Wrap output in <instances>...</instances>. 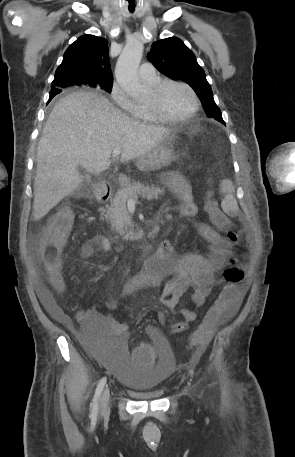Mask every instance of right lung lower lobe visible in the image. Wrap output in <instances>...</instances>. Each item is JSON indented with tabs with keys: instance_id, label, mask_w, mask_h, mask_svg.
<instances>
[{
	"instance_id": "98d812e1",
	"label": "right lung lower lobe",
	"mask_w": 295,
	"mask_h": 457,
	"mask_svg": "<svg viewBox=\"0 0 295 457\" xmlns=\"http://www.w3.org/2000/svg\"><path fill=\"white\" fill-rule=\"evenodd\" d=\"M60 92H61V90L51 89L49 101Z\"/></svg>"
}]
</instances>
